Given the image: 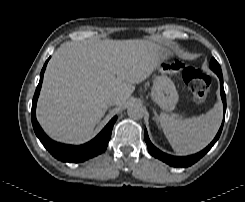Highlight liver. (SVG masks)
<instances>
[{"label": "liver", "mask_w": 245, "mask_h": 202, "mask_svg": "<svg viewBox=\"0 0 245 202\" xmlns=\"http://www.w3.org/2000/svg\"><path fill=\"white\" fill-rule=\"evenodd\" d=\"M159 44L139 39L71 42L60 46L47 66L37 103V119L55 141L80 143L105 115L107 98L124 104L135 84L165 59Z\"/></svg>", "instance_id": "liver-1"}]
</instances>
